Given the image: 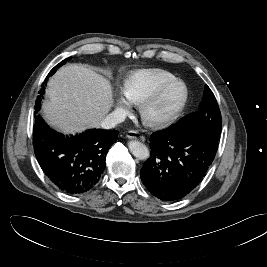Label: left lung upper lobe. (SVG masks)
I'll return each instance as SVG.
<instances>
[{
	"instance_id": "5c2ea615",
	"label": "left lung upper lobe",
	"mask_w": 267,
	"mask_h": 267,
	"mask_svg": "<svg viewBox=\"0 0 267 267\" xmlns=\"http://www.w3.org/2000/svg\"><path fill=\"white\" fill-rule=\"evenodd\" d=\"M191 125L203 127L213 138L220 139L222 119L216 98L206 85L199 111L181 119L177 126Z\"/></svg>"
}]
</instances>
